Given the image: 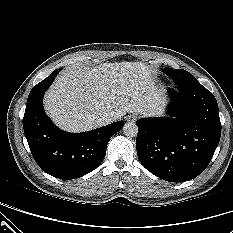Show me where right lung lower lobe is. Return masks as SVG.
<instances>
[{"instance_id": "obj_1", "label": "right lung lower lobe", "mask_w": 233, "mask_h": 233, "mask_svg": "<svg viewBox=\"0 0 233 233\" xmlns=\"http://www.w3.org/2000/svg\"><path fill=\"white\" fill-rule=\"evenodd\" d=\"M60 70L52 72L31 90L23 128L39 167L56 178L69 180L90 173L102 162L110 137L122 128L124 122L83 133H68L56 127L44 112L43 96Z\"/></svg>"}]
</instances>
